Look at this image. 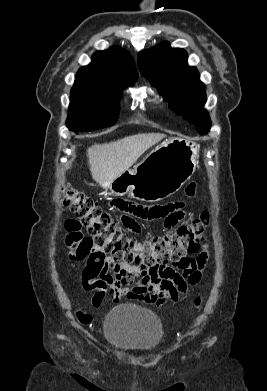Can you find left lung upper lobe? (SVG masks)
Segmentation results:
<instances>
[{
    "mask_svg": "<svg viewBox=\"0 0 267 391\" xmlns=\"http://www.w3.org/2000/svg\"><path fill=\"white\" fill-rule=\"evenodd\" d=\"M138 66L142 75L159 88L172 110L194 124L200 134L209 131L211 120L202 108L206 103L205 86L197 69L188 66L183 49L171 48L163 42L139 53Z\"/></svg>",
    "mask_w": 267,
    "mask_h": 391,
    "instance_id": "obj_1",
    "label": "left lung upper lobe"
}]
</instances>
